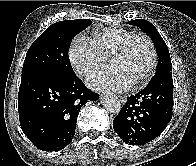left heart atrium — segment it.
Returning a JSON list of instances; mask_svg holds the SVG:
<instances>
[{"instance_id":"39dd6f15","label":"left heart atrium","mask_w":196,"mask_h":166,"mask_svg":"<svg viewBox=\"0 0 196 166\" xmlns=\"http://www.w3.org/2000/svg\"><path fill=\"white\" fill-rule=\"evenodd\" d=\"M87 83L94 89H113L125 91L132 87L133 83L117 68L99 70L87 78Z\"/></svg>"}]
</instances>
